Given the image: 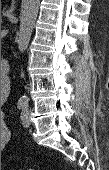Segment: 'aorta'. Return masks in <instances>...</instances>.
I'll use <instances>...</instances> for the list:
<instances>
[{
  "mask_svg": "<svg viewBox=\"0 0 109 170\" xmlns=\"http://www.w3.org/2000/svg\"><path fill=\"white\" fill-rule=\"evenodd\" d=\"M40 0H27L23 10L19 35H18V49L23 53L29 44L31 34L35 25V21L39 11ZM23 102H28V98L24 95L21 97Z\"/></svg>",
  "mask_w": 109,
  "mask_h": 170,
  "instance_id": "1",
  "label": "aorta"
}]
</instances>
